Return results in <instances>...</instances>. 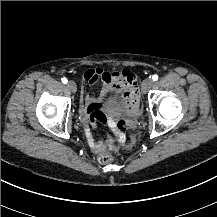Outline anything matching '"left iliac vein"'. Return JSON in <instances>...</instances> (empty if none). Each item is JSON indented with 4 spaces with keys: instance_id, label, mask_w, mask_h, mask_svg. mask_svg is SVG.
Instances as JSON below:
<instances>
[{
    "instance_id": "1",
    "label": "left iliac vein",
    "mask_w": 217,
    "mask_h": 217,
    "mask_svg": "<svg viewBox=\"0 0 217 217\" xmlns=\"http://www.w3.org/2000/svg\"><path fill=\"white\" fill-rule=\"evenodd\" d=\"M153 85V81L151 78L144 79L142 83V92L146 93Z\"/></svg>"
}]
</instances>
